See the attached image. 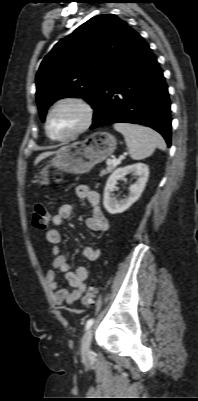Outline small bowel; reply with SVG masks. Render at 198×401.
Instances as JSON below:
<instances>
[{
    "label": "small bowel",
    "instance_id": "1",
    "mask_svg": "<svg viewBox=\"0 0 198 401\" xmlns=\"http://www.w3.org/2000/svg\"><path fill=\"white\" fill-rule=\"evenodd\" d=\"M75 192L78 198L87 200L91 211V215L85 221L87 229L96 233L106 232L109 228V222L100 208L98 192L89 190L85 185L77 186ZM73 210L74 205L72 203L60 205L57 214L52 218V227L46 232L47 241L53 244L51 254L54 257V261L53 269L46 273L45 278L52 293L53 302L57 306L76 302L85 291L88 279V271L85 267L80 266L72 270L65 253L59 246L62 241V234L58 228L65 219L72 215ZM100 255L101 250L97 247L88 246L83 250V256L88 261H96L100 258ZM60 275L65 276L71 288L70 290L59 287L58 277Z\"/></svg>",
    "mask_w": 198,
    "mask_h": 401
}]
</instances>
